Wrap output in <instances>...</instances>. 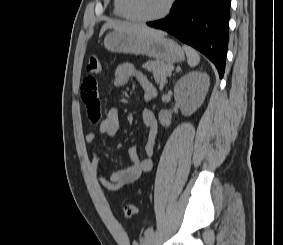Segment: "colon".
I'll return each mask as SVG.
<instances>
[{"mask_svg": "<svg viewBox=\"0 0 283 245\" xmlns=\"http://www.w3.org/2000/svg\"><path fill=\"white\" fill-rule=\"evenodd\" d=\"M87 72L96 75L100 72V62L96 56L90 57L87 63ZM123 211L126 217L130 218L134 216L137 212V207L134 204L126 203L123 206Z\"/></svg>", "mask_w": 283, "mask_h": 245, "instance_id": "obj_1", "label": "colon"}]
</instances>
